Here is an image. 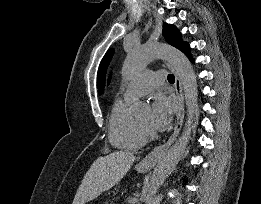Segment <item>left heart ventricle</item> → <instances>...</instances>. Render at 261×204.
<instances>
[{"label": "left heart ventricle", "instance_id": "b2bd125f", "mask_svg": "<svg viewBox=\"0 0 261 204\" xmlns=\"http://www.w3.org/2000/svg\"><path fill=\"white\" fill-rule=\"evenodd\" d=\"M138 120L144 124L145 126L152 128L151 127V111L146 110L139 118Z\"/></svg>", "mask_w": 261, "mask_h": 204}]
</instances>
